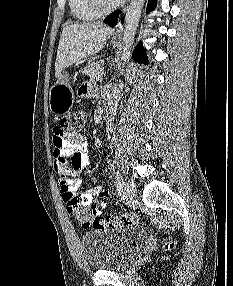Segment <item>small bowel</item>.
Instances as JSON below:
<instances>
[{"label":"small bowel","instance_id":"small-bowel-1","mask_svg":"<svg viewBox=\"0 0 233 286\" xmlns=\"http://www.w3.org/2000/svg\"><path fill=\"white\" fill-rule=\"evenodd\" d=\"M93 85L84 84L80 96L87 98L91 95ZM53 168L60 184V193L66 203V197L71 194L80 198L82 203L93 206L98 214L106 207L105 199L109 190L97 185L82 193H78L81 180L78 176L89 165L88 143L83 136L61 135L56 129L53 134ZM70 213V212H69ZM82 227L86 228L80 221Z\"/></svg>","mask_w":233,"mask_h":286}]
</instances>
